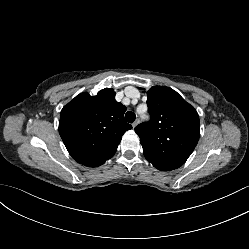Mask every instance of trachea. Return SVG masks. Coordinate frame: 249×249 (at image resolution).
Instances as JSON below:
<instances>
[{"instance_id":"3493384b","label":"trachea","mask_w":249,"mask_h":249,"mask_svg":"<svg viewBox=\"0 0 249 249\" xmlns=\"http://www.w3.org/2000/svg\"><path fill=\"white\" fill-rule=\"evenodd\" d=\"M125 119L128 123H133L136 119V115L131 112V111H128L126 114H125Z\"/></svg>"}]
</instances>
